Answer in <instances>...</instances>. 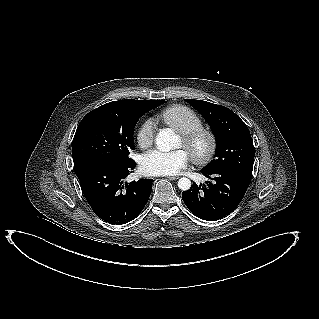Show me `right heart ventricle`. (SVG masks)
I'll return each mask as SVG.
<instances>
[{
	"label": "right heart ventricle",
	"mask_w": 319,
	"mask_h": 319,
	"mask_svg": "<svg viewBox=\"0 0 319 319\" xmlns=\"http://www.w3.org/2000/svg\"><path fill=\"white\" fill-rule=\"evenodd\" d=\"M160 120L182 134L202 126L201 117L185 105H172L159 114Z\"/></svg>",
	"instance_id": "obj_1"
}]
</instances>
